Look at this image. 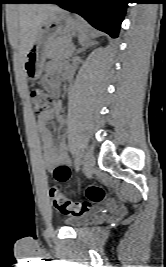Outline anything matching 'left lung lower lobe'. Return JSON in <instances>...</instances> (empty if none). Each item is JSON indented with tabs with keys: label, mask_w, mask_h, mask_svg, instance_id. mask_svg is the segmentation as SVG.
I'll return each instance as SVG.
<instances>
[{
	"label": "left lung lower lobe",
	"mask_w": 166,
	"mask_h": 267,
	"mask_svg": "<svg viewBox=\"0 0 166 267\" xmlns=\"http://www.w3.org/2000/svg\"><path fill=\"white\" fill-rule=\"evenodd\" d=\"M36 3H56L66 10L81 15L95 28L116 38L129 2L128 0H39Z\"/></svg>",
	"instance_id": "0a47b994"
}]
</instances>
